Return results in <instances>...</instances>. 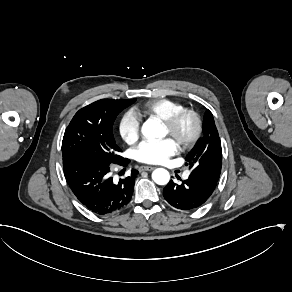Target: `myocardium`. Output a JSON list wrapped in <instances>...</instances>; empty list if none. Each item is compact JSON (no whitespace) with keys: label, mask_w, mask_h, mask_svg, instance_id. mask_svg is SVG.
Wrapping results in <instances>:
<instances>
[{"label":"myocardium","mask_w":292,"mask_h":292,"mask_svg":"<svg viewBox=\"0 0 292 292\" xmlns=\"http://www.w3.org/2000/svg\"><path fill=\"white\" fill-rule=\"evenodd\" d=\"M164 123L168 133L184 148L194 145L200 137L201 120L199 115L191 109L182 108ZM186 123L189 124L187 132L184 131Z\"/></svg>","instance_id":"obj_1"}]
</instances>
